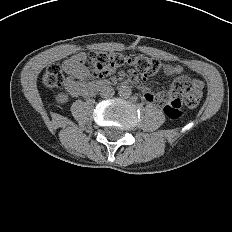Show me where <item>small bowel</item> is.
<instances>
[{
  "label": "small bowel",
  "instance_id": "c3829d8e",
  "mask_svg": "<svg viewBox=\"0 0 232 232\" xmlns=\"http://www.w3.org/2000/svg\"><path fill=\"white\" fill-rule=\"evenodd\" d=\"M65 71L69 74V78L66 82V90L73 96H88L87 86L90 83L85 82L84 80L89 76L88 70L80 64L75 62V58L69 59L64 62ZM183 68L180 65H166L164 72L166 75H181L183 73ZM185 77V76H182ZM181 78V77H180ZM125 79L127 81H133L137 83V72L135 70H127L125 72ZM190 81V80H189ZM191 85L198 87L202 90L204 82L200 79H193ZM143 98L146 101L153 102L156 99V96L149 89L142 87Z\"/></svg>",
  "mask_w": 232,
  "mask_h": 232
}]
</instances>
